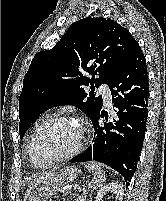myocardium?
<instances>
[{"mask_svg":"<svg viewBox=\"0 0 166 201\" xmlns=\"http://www.w3.org/2000/svg\"><path fill=\"white\" fill-rule=\"evenodd\" d=\"M56 121H73V122H75V120L72 119L70 116L58 114V115H53V116L46 117L39 124L36 125V127L34 128L32 134H31V137H30V140H29V145H28V156H29L31 164L33 166H35V167H47V166H50V165H53V164H56V163H60V162L69 160V159L75 157L76 155H78L82 151V149L84 147L86 137H87V128L85 126L81 125L80 126L81 127V139H80L78 145L75 147L74 150H72L71 152H69V153H67L65 155L53 158V159H51L50 161H48V162H46L44 164H38L35 161L34 155H33V145H34L35 139H36L39 131L45 125H47L49 123H52V122H56ZM75 123H77V122H75Z\"/></svg>","mask_w":166,"mask_h":201,"instance_id":"obj_1","label":"myocardium"}]
</instances>
